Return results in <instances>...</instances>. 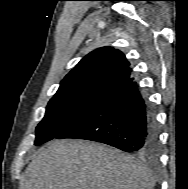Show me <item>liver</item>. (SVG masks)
<instances>
[{
  "label": "liver",
  "instance_id": "liver-1",
  "mask_svg": "<svg viewBox=\"0 0 188 189\" xmlns=\"http://www.w3.org/2000/svg\"><path fill=\"white\" fill-rule=\"evenodd\" d=\"M155 179L132 157L84 140H54L27 166L20 189H152Z\"/></svg>",
  "mask_w": 188,
  "mask_h": 189
}]
</instances>
